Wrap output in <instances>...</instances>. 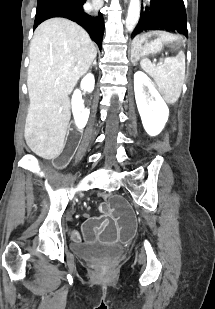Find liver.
<instances>
[{"label":"liver","instance_id":"liver-1","mask_svg":"<svg viewBox=\"0 0 215 309\" xmlns=\"http://www.w3.org/2000/svg\"><path fill=\"white\" fill-rule=\"evenodd\" d=\"M96 54L88 32L68 18H48L37 26L30 42L24 136L42 159L61 155L71 118L68 94Z\"/></svg>","mask_w":215,"mask_h":309}]
</instances>
